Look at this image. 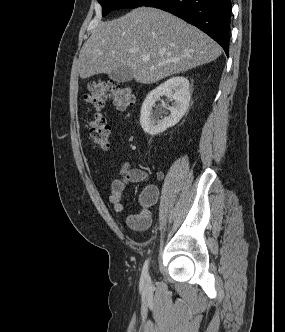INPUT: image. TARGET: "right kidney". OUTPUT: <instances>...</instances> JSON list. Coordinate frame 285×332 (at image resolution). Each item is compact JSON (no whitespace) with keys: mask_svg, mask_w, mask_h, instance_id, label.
I'll return each instance as SVG.
<instances>
[{"mask_svg":"<svg viewBox=\"0 0 285 332\" xmlns=\"http://www.w3.org/2000/svg\"><path fill=\"white\" fill-rule=\"evenodd\" d=\"M162 96L171 97L175 101L169 107L170 115L159 120V114L152 108ZM189 81L186 77H173L152 90L141 107L140 124L142 129L150 134L157 135L176 125L186 113L190 102Z\"/></svg>","mask_w":285,"mask_h":332,"instance_id":"right-kidney-1","label":"right kidney"}]
</instances>
